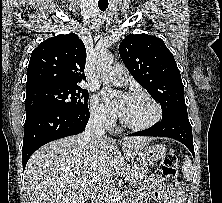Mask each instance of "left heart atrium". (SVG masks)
<instances>
[{"instance_id":"obj_1","label":"left heart atrium","mask_w":222,"mask_h":203,"mask_svg":"<svg viewBox=\"0 0 222 203\" xmlns=\"http://www.w3.org/2000/svg\"><path fill=\"white\" fill-rule=\"evenodd\" d=\"M105 100L119 113H121L126 96H116L110 91L103 93Z\"/></svg>"}]
</instances>
